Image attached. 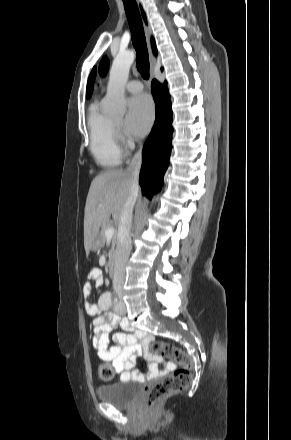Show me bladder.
Wrapping results in <instances>:
<instances>
[{
    "mask_svg": "<svg viewBox=\"0 0 291 440\" xmlns=\"http://www.w3.org/2000/svg\"><path fill=\"white\" fill-rule=\"evenodd\" d=\"M130 380H119L116 383L97 388L98 399L116 407L130 406L140 394V389Z\"/></svg>",
    "mask_w": 291,
    "mask_h": 440,
    "instance_id": "31cf9c89",
    "label": "bladder"
}]
</instances>
